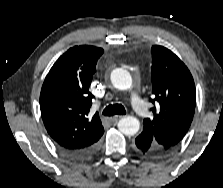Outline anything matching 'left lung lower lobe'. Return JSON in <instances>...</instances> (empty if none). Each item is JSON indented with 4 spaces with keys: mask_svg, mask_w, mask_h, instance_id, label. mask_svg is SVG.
I'll list each match as a JSON object with an SVG mask.
<instances>
[{
    "mask_svg": "<svg viewBox=\"0 0 223 188\" xmlns=\"http://www.w3.org/2000/svg\"><path fill=\"white\" fill-rule=\"evenodd\" d=\"M135 145L138 152L149 157L160 158L166 155L162 149L155 147L152 142L142 134L135 139Z\"/></svg>",
    "mask_w": 223,
    "mask_h": 188,
    "instance_id": "1",
    "label": "left lung lower lobe"
}]
</instances>
